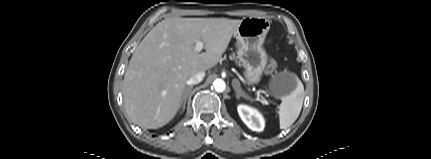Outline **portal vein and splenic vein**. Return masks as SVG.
Segmentation results:
<instances>
[{
    "label": "portal vein and splenic vein",
    "mask_w": 431,
    "mask_h": 159,
    "mask_svg": "<svg viewBox=\"0 0 431 159\" xmlns=\"http://www.w3.org/2000/svg\"><path fill=\"white\" fill-rule=\"evenodd\" d=\"M203 47H204L203 42L197 41L196 45H195V51L198 53L203 49ZM257 95L258 96L260 95V91L257 92ZM262 102L266 103V100L264 98H262Z\"/></svg>",
    "instance_id": "obj_1"
}]
</instances>
